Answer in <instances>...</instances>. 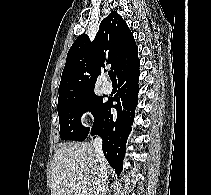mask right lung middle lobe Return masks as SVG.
Returning a JSON list of instances; mask_svg holds the SVG:
<instances>
[{
  "label": "right lung middle lobe",
  "mask_w": 211,
  "mask_h": 195,
  "mask_svg": "<svg viewBox=\"0 0 211 195\" xmlns=\"http://www.w3.org/2000/svg\"><path fill=\"white\" fill-rule=\"evenodd\" d=\"M104 106L103 98L96 96L94 92L59 103L57 108L60 138L62 140H85L90 128H85L81 124L82 114L90 111L94 115L95 124Z\"/></svg>",
  "instance_id": "dd1d6c3e"
}]
</instances>
